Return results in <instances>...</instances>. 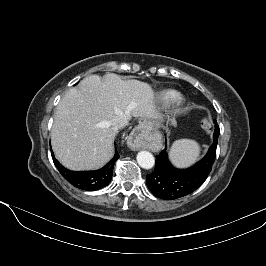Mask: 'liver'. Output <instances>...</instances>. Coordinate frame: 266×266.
I'll list each match as a JSON object with an SVG mask.
<instances>
[{
  "label": "liver",
  "instance_id": "obj_1",
  "mask_svg": "<svg viewBox=\"0 0 266 266\" xmlns=\"http://www.w3.org/2000/svg\"><path fill=\"white\" fill-rule=\"evenodd\" d=\"M117 116L161 117L152 87L113 73L84 78L56 108L51 143L57 159L72 170L102 167L114 154L112 120Z\"/></svg>",
  "mask_w": 266,
  "mask_h": 266
}]
</instances>
